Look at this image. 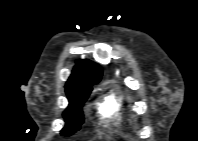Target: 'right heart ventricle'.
<instances>
[{
    "label": "right heart ventricle",
    "mask_w": 198,
    "mask_h": 141,
    "mask_svg": "<svg viewBox=\"0 0 198 141\" xmlns=\"http://www.w3.org/2000/svg\"><path fill=\"white\" fill-rule=\"evenodd\" d=\"M98 112L102 118L115 123L126 120L124 100L120 93L111 89L105 93L98 102Z\"/></svg>",
    "instance_id": "obj_1"
}]
</instances>
